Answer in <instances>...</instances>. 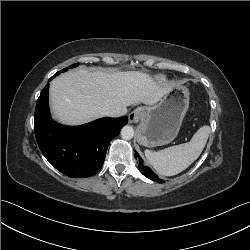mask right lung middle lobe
Here are the masks:
<instances>
[{"label": "right lung middle lobe", "mask_w": 250, "mask_h": 250, "mask_svg": "<svg viewBox=\"0 0 250 250\" xmlns=\"http://www.w3.org/2000/svg\"><path fill=\"white\" fill-rule=\"evenodd\" d=\"M78 65H79V63L73 64V65H71V66H69V67H67V68H65V69H63V70L57 72L56 75H58V74L61 73V72L67 71V70L70 69V68L77 67Z\"/></svg>", "instance_id": "dd1d6c3e"}]
</instances>
